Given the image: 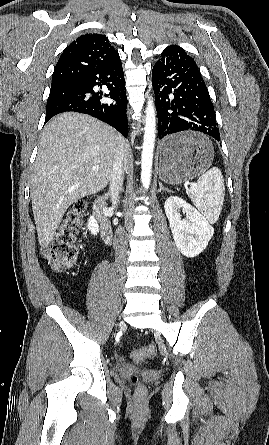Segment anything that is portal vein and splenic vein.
Returning <instances> with one entry per match:
<instances>
[{
    "label": "portal vein and splenic vein",
    "mask_w": 269,
    "mask_h": 445,
    "mask_svg": "<svg viewBox=\"0 0 269 445\" xmlns=\"http://www.w3.org/2000/svg\"><path fill=\"white\" fill-rule=\"evenodd\" d=\"M93 171H97L98 170V168L97 167H93V169H92Z\"/></svg>",
    "instance_id": "obj_1"
}]
</instances>
